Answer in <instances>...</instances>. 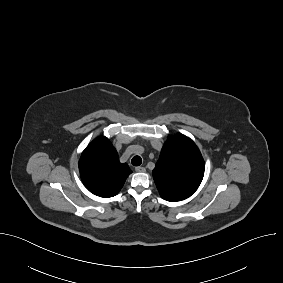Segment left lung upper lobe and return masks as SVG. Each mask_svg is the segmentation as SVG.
<instances>
[{"label":"left lung upper lobe","mask_w":283,"mask_h":283,"mask_svg":"<svg viewBox=\"0 0 283 283\" xmlns=\"http://www.w3.org/2000/svg\"><path fill=\"white\" fill-rule=\"evenodd\" d=\"M205 164L195 143L183 134L169 136L164 144L153 178L161 197L181 201L190 197L204 176Z\"/></svg>","instance_id":"obj_1"}]
</instances>
